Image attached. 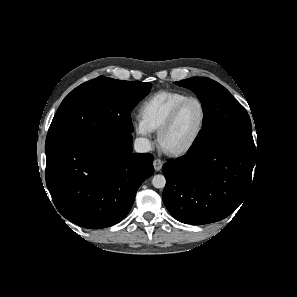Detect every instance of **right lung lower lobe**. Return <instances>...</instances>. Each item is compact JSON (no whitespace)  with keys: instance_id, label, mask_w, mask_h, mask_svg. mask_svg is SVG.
Returning a JSON list of instances; mask_svg holds the SVG:
<instances>
[{"instance_id":"1","label":"right lung lower lobe","mask_w":297,"mask_h":297,"mask_svg":"<svg viewBox=\"0 0 297 297\" xmlns=\"http://www.w3.org/2000/svg\"><path fill=\"white\" fill-rule=\"evenodd\" d=\"M152 162L149 153H132L131 134L95 136L46 155V184L66 219L105 228L129 213Z\"/></svg>"}]
</instances>
